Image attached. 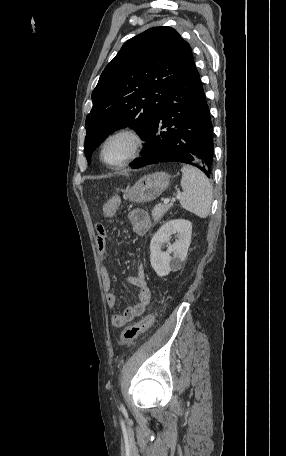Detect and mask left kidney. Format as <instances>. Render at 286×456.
Returning a JSON list of instances; mask_svg holds the SVG:
<instances>
[{
  "label": "left kidney",
  "instance_id": "obj_1",
  "mask_svg": "<svg viewBox=\"0 0 286 456\" xmlns=\"http://www.w3.org/2000/svg\"><path fill=\"white\" fill-rule=\"evenodd\" d=\"M175 233L178 236L176 242L169 245L166 252L162 251V245ZM191 235L192 223L184 219L168 221L154 234L150 243V262L158 276H166L170 271L181 268L191 243ZM172 252L173 257L170 255Z\"/></svg>",
  "mask_w": 286,
  "mask_h": 456
}]
</instances>
